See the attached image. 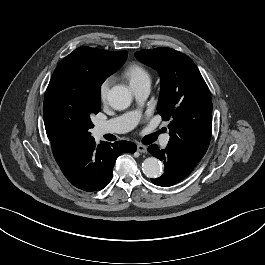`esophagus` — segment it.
<instances>
[{"instance_id": "esophagus-1", "label": "esophagus", "mask_w": 265, "mask_h": 265, "mask_svg": "<svg viewBox=\"0 0 265 265\" xmlns=\"http://www.w3.org/2000/svg\"><path fill=\"white\" fill-rule=\"evenodd\" d=\"M137 151L140 153H146L147 147L143 144H137Z\"/></svg>"}]
</instances>
